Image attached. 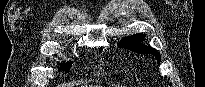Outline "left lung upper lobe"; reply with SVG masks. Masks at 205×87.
I'll return each mask as SVG.
<instances>
[{
    "label": "left lung upper lobe",
    "mask_w": 205,
    "mask_h": 87,
    "mask_svg": "<svg viewBox=\"0 0 205 87\" xmlns=\"http://www.w3.org/2000/svg\"><path fill=\"white\" fill-rule=\"evenodd\" d=\"M144 36L145 34L143 33L136 34L133 36H128L124 38L121 42H119L118 45L123 48L135 51L139 54L151 53L156 57L157 62L160 63L161 57H160V54L157 52V50L150 46H144L141 44V41Z\"/></svg>",
    "instance_id": "1"
}]
</instances>
